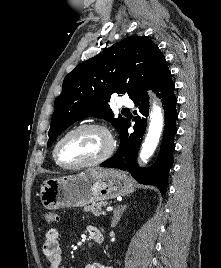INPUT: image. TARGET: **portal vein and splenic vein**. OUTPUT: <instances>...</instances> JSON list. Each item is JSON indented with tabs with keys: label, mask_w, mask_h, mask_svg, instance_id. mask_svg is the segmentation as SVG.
<instances>
[{
	"label": "portal vein and splenic vein",
	"mask_w": 221,
	"mask_h": 268,
	"mask_svg": "<svg viewBox=\"0 0 221 268\" xmlns=\"http://www.w3.org/2000/svg\"><path fill=\"white\" fill-rule=\"evenodd\" d=\"M112 210H113V207H111V206H109V207L106 208V211H107V212H110V211H112Z\"/></svg>",
	"instance_id": "portal-vein-and-splenic-vein-1"
}]
</instances>
